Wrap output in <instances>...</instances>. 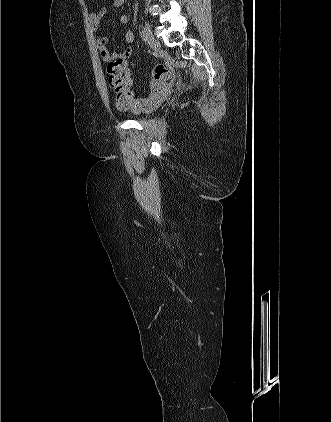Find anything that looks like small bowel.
I'll return each instance as SVG.
<instances>
[{
	"label": "small bowel",
	"instance_id": "small-bowel-1",
	"mask_svg": "<svg viewBox=\"0 0 331 422\" xmlns=\"http://www.w3.org/2000/svg\"><path fill=\"white\" fill-rule=\"evenodd\" d=\"M124 2H125V0H113V6L116 7V8L120 7L124 4ZM105 14H106V9H102L99 12H91L89 14L90 24H91L93 30L96 33H98L101 18ZM120 21H121V23L126 24L127 21H128V17L126 15H122L120 17ZM124 39H125V42L129 45L122 52L111 53L107 48V44L109 42L108 37L98 36L97 42H98V46H99V52H100V56H101V58L104 62L109 63V62H112V61H115V60H121L125 64H127L128 59L130 58V56L132 55V52H133V48L130 44L134 41V33L131 30H126L125 34H124Z\"/></svg>",
	"mask_w": 331,
	"mask_h": 422
}]
</instances>
